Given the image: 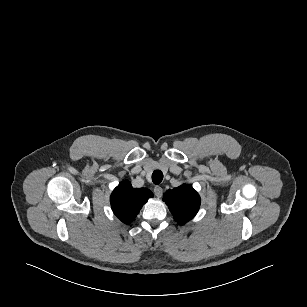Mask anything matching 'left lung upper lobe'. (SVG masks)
Segmentation results:
<instances>
[{
	"mask_svg": "<svg viewBox=\"0 0 307 307\" xmlns=\"http://www.w3.org/2000/svg\"><path fill=\"white\" fill-rule=\"evenodd\" d=\"M163 200L180 225L191 220L197 214L200 206L198 193L186 184L166 191Z\"/></svg>",
	"mask_w": 307,
	"mask_h": 307,
	"instance_id": "obj_1",
	"label": "left lung upper lobe"
}]
</instances>
